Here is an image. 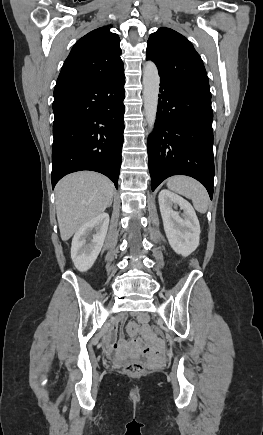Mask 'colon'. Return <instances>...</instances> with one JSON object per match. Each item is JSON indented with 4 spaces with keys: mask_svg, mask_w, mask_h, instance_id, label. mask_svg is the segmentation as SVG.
Segmentation results:
<instances>
[{
    "mask_svg": "<svg viewBox=\"0 0 263 435\" xmlns=\"http://www.w3.org/2000/svg\"><path fill=\"white\" fill-rule=\"evenodd\" d=\"M151 328L153 329L154 332H158L159 334L162 333L160 331V328L157 326V324H152ZM158 341H162L163 343V340L161 338ZM162 355H164L163 352ZM144 370H145L144 364L138 360L128 359L123 364V371L131 376L141 375L144 372Z\"/></svg>",
    "mask_w": 263,
    "mask_h": 435,
    "instance_id": "obj_1",
    "label": "colon"
}]
</instances>
